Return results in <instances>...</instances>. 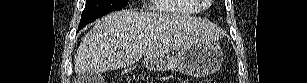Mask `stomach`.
Instances as JSON below:
<instances>
[{
	"label": "stomach",
	"instance_id": "1",
	"mask_svg": "<svg viewBox=\"0 0 307 83\" xmlns=\"http://www.w3.org/2000/svg\"><path fill=\"white\" fill-rule=\"evenodd\" d=\"M223 61V52L213 42H198L182 48L175 57L170 55L146 56L144 65L157 72L178 71L192 77H203L218 70Z\"/></svg>",
	"mask_w": 307,
	"mask_h": 83
}]
</instances>
